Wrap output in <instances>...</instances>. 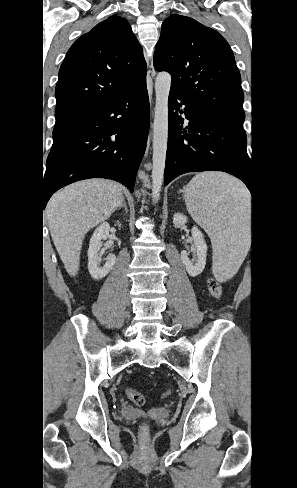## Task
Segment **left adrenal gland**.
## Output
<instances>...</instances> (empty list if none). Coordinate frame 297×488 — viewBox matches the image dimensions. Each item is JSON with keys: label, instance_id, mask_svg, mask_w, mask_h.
<instances>
[{"label": "left adrenal gland", "instance_id": "obj_1", "mask_svg": "<svg viewBox=\"0 0 297 488\" xmlns=\"http://www.w3.org/2000/svg\"><path fill=\"white\" fill-rule=\"evenodd\" d=\"M179 193H184V189L183 190H180Z\"/></svg>", "mask_w": 297, "mask_h": 488}]
</instances>
